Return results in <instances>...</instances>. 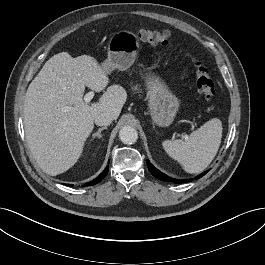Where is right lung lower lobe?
<instances>
[{
  "mask_svg": "<svg viewBox=\"0 0 265 265\" xmlns=\"http://www.w3.org/2000/svg\"><path fill=\"white\" fill-rule=\"evenodd\" d=\"M108 170H109V166H107L106 169L96 179L84 184L83 186H91V185H95V184L99 183L103 178L106 177ZM67 185H69V184H67ZM69 186H72V185H69Z\"/></svg>",
  "mask_w": 265,
  "mask_h": 265,
  "instance_id": "obj_1",
  "label": "right lung lower lobe"
}]
</instances>
